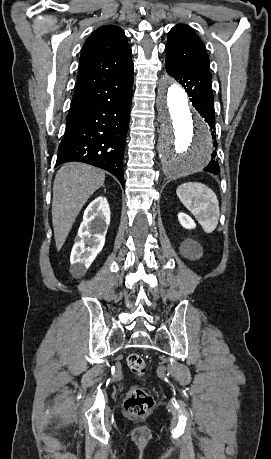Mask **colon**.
<instances>
[{
  "label": "colon",
  "mask_w": 271,
  "mask_h": 459,
  "mask_svg": "<svg viewBox=\"0 0 271 459\" xmlns=\"http://www.w3.org/2000/svg\"><path fill=\"white\" fill-rule=\"evenodd\" d=\"M127 365L130 371L138 376L146 372V363L139 354H130L127 357ZM154 405V399L146 388L136 387L130 389L125 397L124 408L132 416L147 414Z\"/></svg>",
  "instance_id": "1"
}]
</instances>
